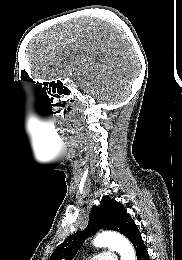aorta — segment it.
<instances>
[{"mask_svg":"<svg viewBox=\"0 0 182 260\" xmlns=\"http://www.w3.org/2000/svg\"><path fill=\"white\" fill-rule=\"evenodd\" d=\"M93 244L95 247H108L119 253L121 260H136V253L127 238L115 232H104L98 234Z\"/></svg>","mask_w":182,"mask_h":260,"instance_id":"762f6f07","label":"aorta"}]
</instances>
